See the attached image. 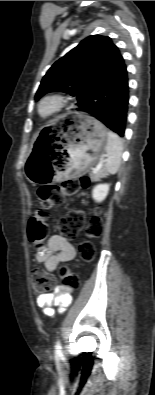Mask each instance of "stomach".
<instances>
[{"instance_id": "1", "label": "stomach", "mask_w": 155, "mask_h": 395, "mask_svg": "<svg viewBox=\"0 0 155 395\" xmlns=\"http://www.w3.org/2000/svg\"><path fill=\"white\" fill-rule=\"evenodd\" d=\"M69 123L49 147L35 146L25 164L31 183L42 184L74 177L87 171L100 157L107 142V130L101 122L82 113L72 112ZM57 145V146H54Z\"/></svg>"}]
</instances>
